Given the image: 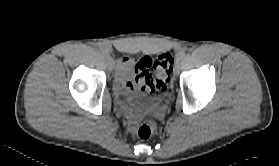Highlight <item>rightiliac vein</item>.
Returning <instances> with one entry per match:
<instances>
[{
	"instance_id": "right-iliac-vein-1",
	"label": "right iliac vein",
	"mask_w": 279,
	"mask_h": 166,
	"mask_svg": "<svg viewBox=\"0 0 279 166\" xmlns=\"http://www.w3.org/2000/svg\"><path fill=\"white\" fill-rule=\"evenodd\" d=\"M106 60H107L108 69L113 70L115 67L114 60L110 56L106 57Z\"/></svg>"
}]
</instances>
